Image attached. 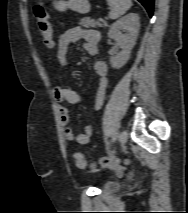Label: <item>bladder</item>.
Segmentation results:
<instances>
[{
	"instance_id": "31cf9c89",
	"label": "bladder",
	"mask_w": 188,
	"mask_h": 213,
	"mask_svg": "<svg viewBox=\"0 0 188 213\" xmlns=\"http://www.w3.org/2000/svg\"><path fill=\"white\" fill-rule=\"evenodd\" d=\"M119 188L120 184L117 181H109L104 185L103 190L106 192H115Z\"/></svg>"
}]
</instances>
